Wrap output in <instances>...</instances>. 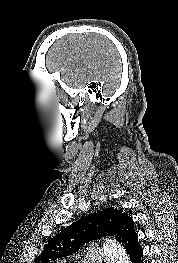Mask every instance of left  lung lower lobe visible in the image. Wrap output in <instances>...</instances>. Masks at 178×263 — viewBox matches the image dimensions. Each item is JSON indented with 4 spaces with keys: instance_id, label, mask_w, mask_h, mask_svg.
Listing matches in <instances>:
<instances>
[{
    "instance_id": "0a47b994",
    "label": "left lung lower lobe",
    "mask_w": 178,
    "mask_h": 263,
    "mask_svg": "<svg viewBox=\"0 0 178 263\" xmlns=\"http://www.w3.org/2000/svg\"><path fill=\"white\" fill-rule=\"evenodd\" d=\"M119 242L125 247L126 251L130 255L132 263H143L141 260L143 250L138 242V236L134 230V224L131 217L124 225Z\"/></svg>"
}]
</instances>
